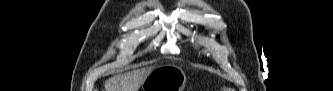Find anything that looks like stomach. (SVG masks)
<instances>
[{
    "mask_svg": "<svg viewBox=\"0 0 333 91\" xmlns=\"http://www.w3.org/2000/svg\"><path fill=\"white\" fill-rule=\"evenodd\" d=\"M185 83L186 75L180 67L160 66L145 78L142 91H183Z\"/></svg>",
    "mask_w": 333,
    "mask_h": 91,
    "instance_id": "1",
    "label": "stomach"
}]
</instances>
